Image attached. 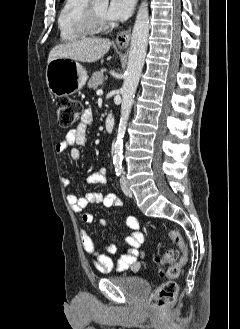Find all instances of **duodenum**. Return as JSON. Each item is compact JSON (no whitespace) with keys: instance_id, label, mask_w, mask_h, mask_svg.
I'll list each match as a JSON object with an SVG mask.
<instances>
[{"instance_id":"1","label":"duodenum","mask_w":240,"mask_h":329,"mask_svg":"<svg viewBox=\"0 0 240 329\" xmlns=\"http://www.w3.org/2000/svg\"><path fill=\"white\" fill-rule=\"evenodd\" d=\"M115 126V120L111 113H108L105 118V129L108 133H112Z\"/></svg>"}]
</instances>
